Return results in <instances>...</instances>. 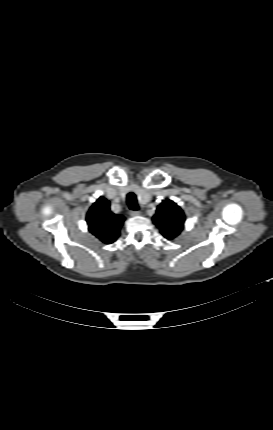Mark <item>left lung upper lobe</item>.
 I'll list each match as a JSON object with an SVG mask.
<instances>
[{
    "label": "left lung upper lobe",
    "mask_w": 273,
    "mask_h": 430,
    "mask_svg": "<svg viewBox=\"0 0 273 430\" xmlns=\"http://www.w3.org/2000/svg\"><path fill=\"white\" fill-rule=\"evenodd\" d=\"M184 220L183 211L171 200L161 203L153 216L154 224L160 228L161 233L167 239H173L180 233Z\"/></svg>",
    "instance_id": "left-lung-upper-lobe-1"
}]
</instances>
